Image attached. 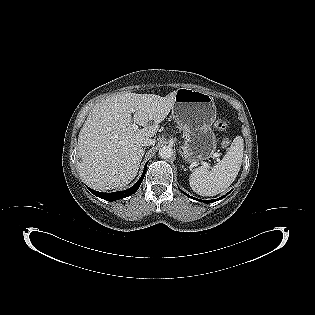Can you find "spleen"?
I'll return each mask as SVG.
<instances>
[{
	"mask_svg": "<svg viewBox=\"0 0 315 315\" xmlns=\"http://www.w3.org/2000/svg\"><path fill=\"white\" fill-rule=\"evenodd\" d=\"M244 141L234 138L229 150L211 170L205 166L196 168L189 176L191 189L201 196H215L227 189L236 179L242 164Z\"/></svg>",
	"mask_w": 315,
	"mask_h": 315,
	"instance_id": "spleen-1",
	"label": "spleen"
}]
</instances>
